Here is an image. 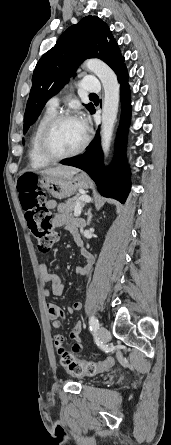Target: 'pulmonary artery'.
<instances>
[{
  "instance_id": "pulmonary-artery-1",
  "label": "pulmonary artery",
  "mask_w": 171,
  "mask_h": 445,
  "mask_svg": "<svg viewBox=\"0 0 171 445\" xmlns=\"http://www.w3.org/2000/svg\"><path fill=\"white\" fill-rule=\"evenodd\" d=\"M81 87L86 92H98L101 89L100 81L96 77H84L81 81ZM59 104L58 97H52L48 101V107L55 109Z\"/></svg>"
}]
</instances>
